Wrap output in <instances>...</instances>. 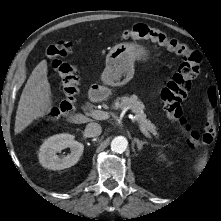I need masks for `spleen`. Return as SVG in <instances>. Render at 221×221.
Returning <instances> with one entry per match:
<instances>
[{
	"label": "spleen",
	"mask_w": 221,
	"mask_h": 221,
	"mask_svg": "<svg viewBox=\"0 0 221 221\" xmlns=\"http://www.w3.org/2000/svg\"><path fill=\"white\" fill-rule=\"evenodd\" d=\"M206 159H207V153L204 155L203 158L200 159L198 164V169H201L204 166V164L206 163Z\"/></svg>",
	"instance_id": "1"
}]
</instances>
